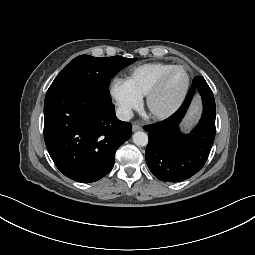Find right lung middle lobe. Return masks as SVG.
<instances>
[{
    "label": "right lung middle lobe",
    "instance_id": "right-lung-middle-lobe-1",
    "mask_svg": "<svg viewBox=\"0 0 255 255\" xmlns=\"http://www.w3.org/2000/svg\"><path fill=\"white\" fill-rule=\"evenodd\" d=\"M137 58L122 56L93 57L80 55L74 58L55 78L48 91L55 89H81L91 91L112 102L110 80Z\"/></svg>",
    "mask_w": 255,
    "mask_h": 255
}]
</instances>
